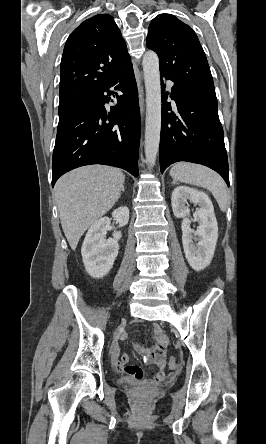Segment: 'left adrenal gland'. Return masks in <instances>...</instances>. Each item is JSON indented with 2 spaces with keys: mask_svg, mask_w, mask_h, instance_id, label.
<instances>
[{
  "mask_svg": "<svg viewBox=\"0 0 266 444\" xmlns=\"http://www.w3.org/2000/svg\"><path fill=\"white\" fill-rule=\"evenodd\" d=\"M172 184H176V181L174 180V181L172 182Z\"/></svg>",
  "mask_w": 266,
  "mask_h": 444,
  "instance_id": "obj_1",
  "label": "left adrenal gland"
}]
</instances>
